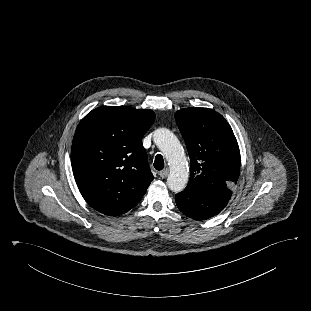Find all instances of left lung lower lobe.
Returning a JSON list of instances; mask_svg holds the SVG:
<instances>
[{
	"instance_id": "obj_1",
	"label": "left lung lower lobe",
	"mask_w": 311,
	"mask_h": 311,
	"mask_svg": "<svg viewBox=\"0 0 311 311\" xmlns=\"http://www.w3.org/2000/svg\"><path fill=\"white\" fill-rule=\"evenodd\" d=\"M227 203V201L211 197L190 187L176 194V204L179 210L195 220H206L217 215Z\"/></svg>"
}]
</instances>
